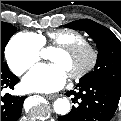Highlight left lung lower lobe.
<instances>
[{
	"mask_svg": "<svg viewBox=\"0 0 121 121\" xmlns=\"http://www.w3.org/2000/svg\"><path fill=\"white\" fill-rule=\"evenodd\" d=\"M77 91L67 92L73 95L72 101L78 106L72 107L69 114L58 117L59 121H110L121 96V89L104 81H86L77 84Z\"/></svg>",
	"mask_w": 121,
	"mask_h": 121,
	"instance_id": "1",
	"label": "left lung lower lobe"
}]
</instances>
